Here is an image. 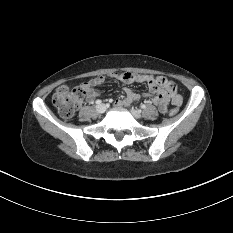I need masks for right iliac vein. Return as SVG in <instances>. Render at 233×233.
Listing matches in <instances>:
<instances>
[{"label": "right iliac vein", "mask_w": 233, "mask_h": 233, "mask_svg": "<svg viewBox=\"0 0 233 233\" xmlns=\"http://www.w3.org/2000/svg\"><path fill=\"white\" fill-rule=\"evenodd\" d=\"M96 111L98 113H104L106 111V106L104 104H99L96 106Z\"/></svg>", "instance_id": "right-iliac-vein-1"}]
</instances>
